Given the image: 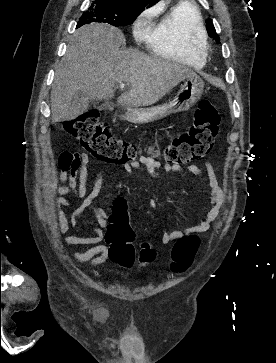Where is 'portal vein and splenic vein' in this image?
<instances>
[{"label": "portal vein and splenic vein", "instance_id": "18ae733b", "mask_svg": "<svg viewBox=\"0 0 276 363\" xmlns=\"http://www.w3.org/2000/svg\"><path fill=\"white\" fill-rule=\"evenodd\" d=\"M120 88H121V89H124V88H125V84H121V85H120Z\"/></svg>", "mask_w": 276, "mask_h": 363}]
</instances>
